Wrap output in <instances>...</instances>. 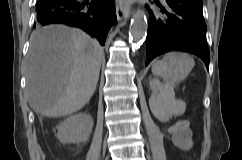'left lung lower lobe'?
<instances>
[{
	"instance_id": "obj_1",
	"label": "left lung lower lobe",
	"mask_w": 242,
	"mask_h": 160,
	"mask_svg": "<svg viewBox=\"0 0 242 160\" xmlns=\"http://www.w3.org/2000/svg\"><path fill=\"white\" fill-rule=\"evenodd\" d=\"M146 38V65L169 51H185L200 57L209 68L206 24L202 5L192 0H151Z\"/></svg>"
}]
</instances>
